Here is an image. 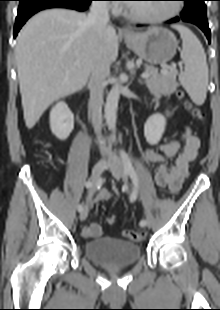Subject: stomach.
Returning <instances> with one entry per match:
<instances>
[{
  "label": "stomach",
  "instance_id": "0dacf381",
  "mask_svg": "<svg viewBox=\"0 0 220 310\" xmlns=\"http://www.w3.org/2000/svg\"><path fill=\"white\" fill-rule=\"evenodd\" d=\"M130 49L150 65L164 64L176 54L178 42L175 35L168 29L154 27L143 33L125 36Z\"/></svg>",
  "mask_w": 220,
  "mask_h": 310
}]
</instances>
